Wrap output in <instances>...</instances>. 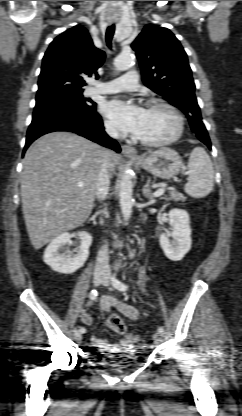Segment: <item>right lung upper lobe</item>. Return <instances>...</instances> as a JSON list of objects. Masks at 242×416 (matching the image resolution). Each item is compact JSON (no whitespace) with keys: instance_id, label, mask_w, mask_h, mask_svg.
I'll return each mask as SVG.
<instances>
[{"instance_id":"cb5924a9","label":"right lung upper lobe","mask_w":242,"mask_h":416,"mask_svg":"<svg viewBox=\"0 0 242 416\" xmlns=\"http://www.w3.org/2000/svg\"><path fill=\"white\" fill-rule=\"evenodd\" d=\"M105 53L97 49L82 26H75L57 36L47 49L42 62L37 96L51 94L61 88L85 86V75H97Z\"/></svg>"}]
</instances>
